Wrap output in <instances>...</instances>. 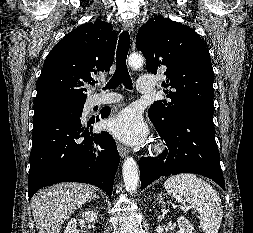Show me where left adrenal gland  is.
Returning a JSON list of instances; mask_svg holds the SVG:
<instances>
[{"label": "left adrenal gland", "instance_id": "obj_1", "mask_svg": "<svg viewBox=\"0 0 253 233\" xmlns=\"http://www.w3.org/2000/svg\"><path fill=\"white\" fill-rule=\"evenodd\" d=\"M157 200L161 202L163 200V193L157 195Z\"/></svg>", "mask_w": 253, "mask_h": 233}]
</instances>
